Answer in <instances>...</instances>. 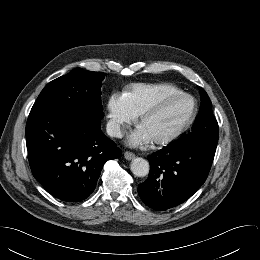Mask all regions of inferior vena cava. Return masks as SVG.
<instances>
[{
  "label": "inferior vena cava",
  "instance_id": "inferior-vena-cava-1",
  "mask_svg": "<svg viewBox=\"0 0 260 260\" xmlns=\"http://www.w3.org/2000/svg\"><path fill=\"white\" fill-rule=\"evenodd\" d=\"M106 132L111 137L121 138L123 136L120 129V124L115 120L108 121L106 125Z\"/></svg>",
  "mask_w": 260,
  "mask_h": 260
}]
</instances>
